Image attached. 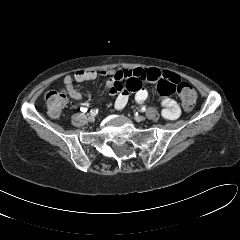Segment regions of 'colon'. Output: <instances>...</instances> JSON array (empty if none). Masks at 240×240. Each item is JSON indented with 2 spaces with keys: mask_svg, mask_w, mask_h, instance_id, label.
I'll return each instance as SVG.
<instances>
[{
  "mask_svg": "<svg viewBox=\"0 0 240 240\" xmlns=\"http://www.w3.org/2000/svg\"><path fill=\"white\" fill-rule=\"evenodd\" d=\"M176 92L180 97L183 107L190 110L195 104L197 94L193 87L186 82H179L176 86ZM67 101L64 93L59 91H49L45 96V103L48 113L52 116H58L62 112Z\"/></svg>",
  "mask_w": 240,
  "mask_h": 240,
  "instance_id": "5ec220e1",
  "label": "colon"
}]
</instances>
